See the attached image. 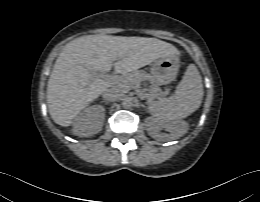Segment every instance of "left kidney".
I'll list each match as a JSON object with an SVG mask.
<instances>
[{
  "label": "left kidney",
  "mask_w": 260,
  "mask_h": 202,
  "mask_svg": "<svg viewBox=\"0 0 260 202\" xmlns=\"http://www.w3.org/2000/svg\"><path fill=\"white\" fill-rule=\"evenodd\" d=\"M178 127H179V124H177L175 122L160 121V120L151 118V124L149 126V134L154 139L160 140L163 137H166L163 134H161V130L165 129L166 131L171 132V134L168 136V138L174 139L176 136Z\"/></svg>",
  "instance_id": "5707ae66"
}]
</instances>
